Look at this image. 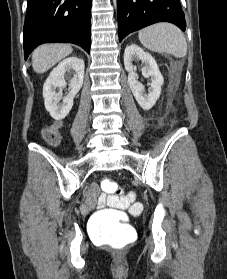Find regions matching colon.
<instances>
[{
    "mask_svg": "<svg viewBox=\"0 0 227 279\" xmlns=\"http://www.w3.org/2000/svg\"><path fill=\"white\" fill-rule=\"evenodd\" d=\"M43 137L48 144L56 145L59 142L60 134L58 130L49 128L44 132ZM119 186L120 184L116 180L103 179L101 181V188L106 196L116 197V195L110 194L109 191L117 190ZM125 219V213L118 209L104 208L96 211L92 215L89 225L93 239L97 242L105 241L109 238L124 241L135 239L136 232Z\"/></svg>",
    "mask_w": 227,
    "mask_h": 279,
    "instance_id": "obj_1",
    "label": "colon"
}]
</instances>
